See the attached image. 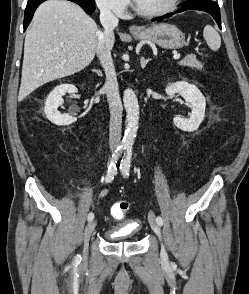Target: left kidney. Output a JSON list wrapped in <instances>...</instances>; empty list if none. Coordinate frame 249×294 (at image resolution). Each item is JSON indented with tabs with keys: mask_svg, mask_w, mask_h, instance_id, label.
I'll return each mask as SVG.
<instances>
[{
	"mask_svg": "<svg viewBox=\"0 0 249 294\" xmlns=\"http://www.w3.org/2000/svg\"><path fill=\"white\" fill-rule=\"evenodd\" d=\"M165 91L167 95L179 93L192 109L188 119L174 117L173 122L175 126L186 132L197 130L205 117L206 107L205 97L200 90L186 81H178L168 84Z\"/></svg>",
	"mask_w": 249,
	"mask_h": 294,
	"instance_id": "obj_1",
	"label": "left kidney"
}]
</instances>
